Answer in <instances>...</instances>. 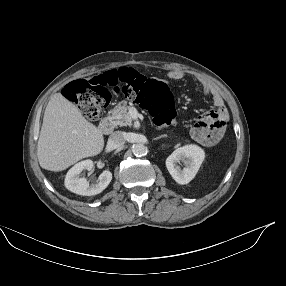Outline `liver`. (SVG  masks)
I'll list each match as a JSON object with an SVG mask.
<instances>
[{"instance_id": "1", "label": "liver", "mask_w": 286, "mask_h": 286, "mask_svg": "<svg viewBox=\"0 0 286 286\" xmlns=\"http://www.w3.org/2000/svg\"><path fill=\"white\" fill-rule=\"evenodd\" d=\"M103 148L102 131L88 122L61 93L52 95L37 145L40 166L49 171H62L83 158L100 154Z\"/></svg>"}]
</instances>
